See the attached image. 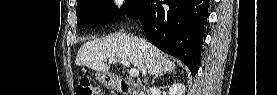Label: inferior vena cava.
<instances>
[{"instance_id":"inferior-vena-cava-1","label":"inferior vena cava","mask_w":277,"mask_h":95,"mask_svg":"<svg viewBox=\"0 0 277 95\" xmlns=\"http://www.w3.org/2000/svg\"><path fill=\"white\" fill-rule=\"evenodd\" d=\"M146 70H144V72H145ZM144 83H146L147 84V79H144Z\"/></svg>"}]
</instances>
